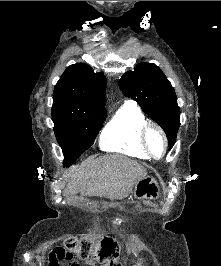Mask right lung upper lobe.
Masks as SVG:
<instances>
[{
    "label": "right lung upper lobe",
    "instance_id": "1",
    "mask_svg": "<svg viewBox=\"0 0 221 266\" xmlns=\"http://www.w3.org/2000/svg\"><path fill=\"white\" fill-rule=\"evenodd\" d=\"M106 78L86 64L69 66L57 82L53 99L68 100L85 114H105Z\"/></svg>",
    "mask_w": 221,
    "mask_h": 266
}]
</instances>
